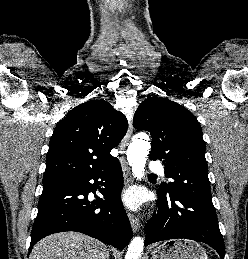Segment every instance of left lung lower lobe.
Wrapping results in <instances>:
<instances>
[{
  "instance_id": "1",
  "label": "left lung lower lobe",
  "mask_w": 248,
  "mask_h": 259,
  "mask_svg": "<svg viewBox=\"0 0 248 259\" xmlns=\"http://www.w3.org/2000/svg\"><path fill=\"white\" fill-rule=\"evenodd\" d=\"M158 211L146 225V245L184 238L206 243L224 259L225 248L212 199L166 195L158 190Z\"/></svg>"
}]
</instances>
